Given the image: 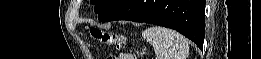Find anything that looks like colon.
Segmentation results:
<instances>
[{
    "instance_id": "5ec220e1",
    "label": "colon",
    "mask_w": 261,
    "mask_h": 59,
    "mask_svg": "<svg viewBox=\"0 0 261 59\" xmlns=\"http://www.w3.org/2000/svg\"><path fill=\"white\" fill-rule=\"evenodd\" d=\"M90 33L92 37L102 43L107 45H115L117 48H120L124 44V38L118 34L105 32L97 28H91ZM116 58V57H111ZM121 58H129V57H121Z\"/></svg>"
}]
</instances>
